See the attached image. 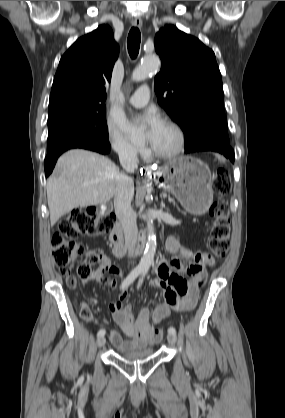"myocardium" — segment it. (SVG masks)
Segmentation results:
<instances>
[{"label":"myocardium","mask_w":285,"mask_h":418,"mask_svg":"<svg viewBox=\"0 0 285 418\" xmlns=\"http://www.w3.org/2000/svg\"><path fill=\"white\" fill-rule=\"evenodd\" d=\"M166 127L173 130L177 136V143L173 150L169 152H162L156 149H152V154L158 159L168 160L177 157L179 154L182 153L185 147L186 137L184 130L180 125L173 121H167L165 124Z\"/></svg>","instance_id":"f54148a6"}]
</instances>
